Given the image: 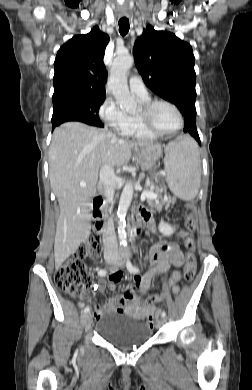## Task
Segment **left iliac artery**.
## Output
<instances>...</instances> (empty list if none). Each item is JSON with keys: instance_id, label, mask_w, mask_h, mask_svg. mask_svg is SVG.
Segmentation results:
<instances>
[{"instance_id": "44dca946", "label": "left iliac artery", "mask_w": 252, "mask_h": 390, "mask_svg": "<svg viewBox=\"0 0 252 390\" xmlns=\"http://www.w3.org/2000/svg\"><path fill=\"white\" fill-rule=\"evenodd\" d=\"M125 246H127V244H125ZM126 266H127V269H128V271H129L130 273H137V272H138V269L131 263L129 257L127 258ZM161 315H162L163 317H165V316H166L165 311H162V312H161Z\"/></svg>"}]
</instances>
